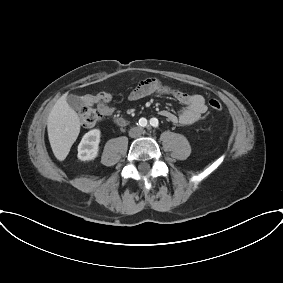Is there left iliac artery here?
I'll list each match as a JSON object with an SVG mask.
<instances>
[{
  "mask_svg": "<svg viewBox=\"0 0 283 283\" xmlns=\"http://www.w3.org/2000/svg\"><path fill=\"white\" fill-rule=\"evenodd\" d=\"M150 125L153 126V127H155V128H157L158 125H159L158 119L152 118V119L150 120Z\"/></svg>",
  "mask_w": 283,
  "mask_h": 283,
  "instance_id": "1",
  "label": "left iliac artery"
}]
</instances>
